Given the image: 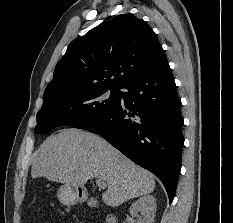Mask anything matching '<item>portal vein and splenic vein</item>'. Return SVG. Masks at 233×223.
<instances>
[{"label":"portal vein and splenic vein","instance_id":"portal-vein-and-splenic-vein-1","mask_svg":"<svg viewBox=\"0 0 233 223\" xmlns=\"http://www.w3.org/2000/svg\"><path fill=\"white\" fill-rule=\"evenodd\" d=\"M95 183H97L98 187H103V189H105L106 187V181H104V179H95Z\"/></svg>","mask_w":233,"mask_h":223}]
</instances>
